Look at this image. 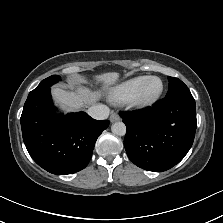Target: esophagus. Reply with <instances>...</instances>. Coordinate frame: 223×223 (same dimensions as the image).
<instances>
[{
	"label": "esophagus",
	"instance_id": "obj_1",
	"mask_svg": "<svg viewBox=\"0 0 223 223\" xmlns=\"http://www.w3.org/2000/svg\"><path fill=\"white\" fill-rule=\"evenodd\" d=\"M120 120V116L118 115V113H112L110 115V121L111 122H116Z\"/></svg>",
	"mask_w": 223,
	"mask_h": 223
}]
</instances>
